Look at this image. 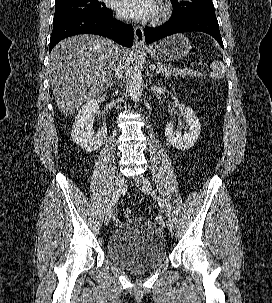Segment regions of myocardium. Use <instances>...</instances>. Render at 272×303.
<instances>
[{
	"label": "myocardium",
	"instance_id": "obj_1",
	"mask_svg": "<svg viewBox=\"0 0 272 303\" xmlns=\"http://www.w3.org/2000/svg\"><path fill=\"white\" fill-rule=\"evenodd\" d=\"M172 12V6L168 0H163L160 4L157 21L165 20Z\"/></svg>",
	"mask_w": 272,
	"mask_h": 303
}]
</instances>
